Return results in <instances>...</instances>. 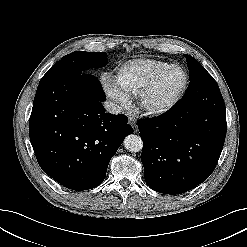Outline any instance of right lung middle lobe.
I'll return each instance as SVG.
<instances>
[{"instance_id": "dd1d6c3e", "label": "right lung middle lobe", "mask_w": 247, "mask_h": 247, "mask_svg": "<svg viewBox=\"0 0 247 247\" xmlns=\"http://www.w3.org/2000/svg\"><path fill=\"white\" fill-rule=\"evenodd\" d=\"M106 63L107 54L105 52L91 53L75 51L56 62L43 77H50L57 73L66 71H78L80 73L88 72L90 69L100 68Z\"/></svg>"}]
</instances>
